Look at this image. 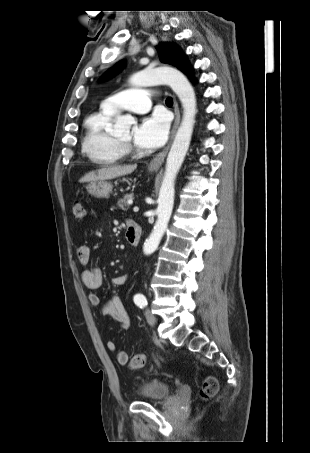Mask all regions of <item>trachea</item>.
<instances>
[{"mask_svg":"<svg viewBox=\"0 0 310 453\" xmlns=\"http://www.w3.org/2000/svg\"><path fill=\"white\" fill-rule=\"evenodd\" d=\"M166 105H172L173 104V99L171 97L167 98L165 101Z\"/></svg>","mask_w":310,"mask_h":453,"instance_id":"obj_1","label":"trachea"}]
</instances>
